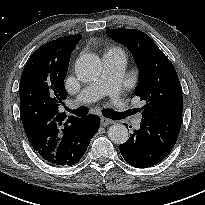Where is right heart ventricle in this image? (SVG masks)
<instances>
[{
    "label": "right heart ventricle",
    "mask_w": 205,
    "mask_h": 205,
    "mask_svg": "<svg viewBox=\"0 0 205 205\" xmlns=\"http://www.w3.org/2000/svg\"><path fill=\"white\" fill-rule=\"evenodd\" d=\"M106 52H107V53H112V52H120V53H123L121 49L116 48V47H110L109 49H107Z\"/></svg>",
    "instance_id": "e07e8e85"
}]
</instances>
